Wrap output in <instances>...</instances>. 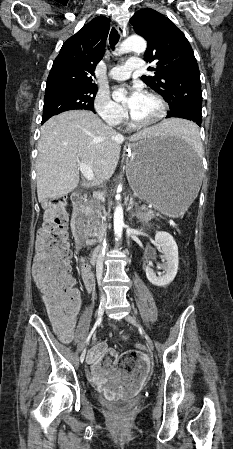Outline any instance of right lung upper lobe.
<instances>
[{"label":"right lung upper lobe","mask_w":233,"mask_h":449,"mask_svg":"<svg viewBox=\"0 0 233 449\" xmlns=\"http://www.w3.org/2000/svg\"><path fill=\"white\" fill-rule=\"evenodd\" d=\"M109 23L107 17L98 16L63 44L47 78L45 93L96 86L94 70L104 55Z\"/></svg>","instance_id":"1"}]
</instances>
